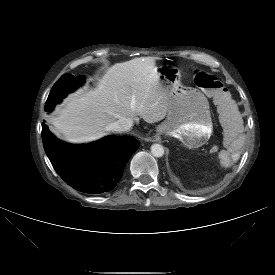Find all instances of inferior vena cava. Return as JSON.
Listing matches in <instances>:
<instances>
[{"instance_id":"obj_1","label":"inferior vena cava","mask_w":275,"mask_h":275,"mask_svg":"<svg viewBox=\"0 0 275 275\" xmlns=\"http://www.w3.org/2000/svg\"><path fill=\"white\" fill-rule=\"evenodd\" d=\"M133 125V120L130 118H121L109 126L110 130L116 132L129 131Z\"/></svg>"}]
</instances>
